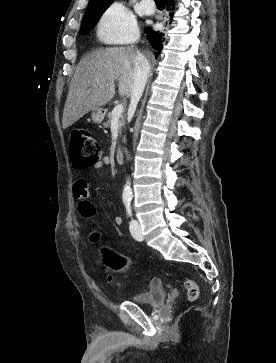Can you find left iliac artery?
<instances>
[{
    "label": "left iliac artery",
    "instance_id": "left-iliac-artery-1",
    "mask_svg": "<svg viewBox=\"0 0 276 363\" xmlns=\"http://www.w3.org/2000/svg\"><path fill=\"white\" fill-rule=\"evenodd\" d=\"M126 210L129 216L132 215L130 201L125 202Z\"/></svg>",
    "mask_w": 276,
    "mask_h": 363
}]
</instances>
